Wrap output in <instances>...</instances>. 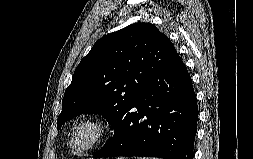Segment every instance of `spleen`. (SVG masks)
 <instances>
[{"label":"spleen","mask_w":253,"mask_h":159,"mask_svg":"<svg viewBox=\"0 0 253 159\" xmlns=\"http://www.w3.org/2000/svg\"><path fill=\"white\" fill-rule=\"evenodd\" d=\"M138 159H158V158H146V157H140Z\"/></svg>","instance_id":"3e777b00"}]
</instances>
